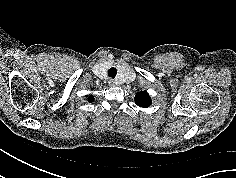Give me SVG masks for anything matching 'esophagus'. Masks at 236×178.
I'll return each mask as SVG.
<instances>
[{"mask_svg": "<svg viewBox=\"0 0 236 178\" xmlns=\"http://www.w3.org/2000/svg\"><path fill=\"white\" fill-rule=\"evenodd\" d=\"M108 83H109V85L112 86V87L117 86V82H116L115 80H113V79H110V80L108 81Z\"/></svg>", "mask_w": 236, "mask_h": 178, "instance_id": "1", "label": "esophagus"}]
</instances>
